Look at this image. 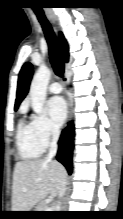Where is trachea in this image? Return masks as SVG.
Returning <instances> with one entry per match:
<instances>
[{
    "mask_svg": "<svg viewBox=\"0 0 123 219\" xmlns=\"http://www.w3.org/2000/svg\"><path fill=\"white\" fill-rule=\"evenodd\" d=\"M36 16L39 22L42 25L43 31L45 33L46 40L49 46V54H50V61L54 72L57 76L62 77L64 74V63L61 57V53L58 47V42L55 36V33L46 19L43 11H36Z\"/></svg>",
    "mask_w": 123,
    "mask_h": 219,
    "instance_id": "1",
    "label": "trachea"
}]
</instances>
